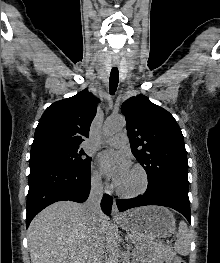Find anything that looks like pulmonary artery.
I'll return each instance as SVG.
<instances>
[{"label": "pulmonary artery", "mask_w": 220, "mask_h": 263, "mask_svg": "<svg viewBox=\"0 0 220 263\" xmlns=\"http://www.w3.org/2000/svg\"><path fill=\"white\" fill-rule=\"evenodd\" d=\"M106 144L114 147H123L128 143V137L125 133H118L115 136L108 138Z\"/></svg>", "instance_id": "obj_1"}]
</instances>
